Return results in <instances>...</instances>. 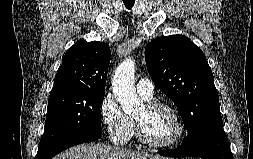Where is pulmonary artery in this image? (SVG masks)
Masks as SVG:
<instances>
[{"label":"pulmonary artery","mask_w":253,"mask_h":159,"mask_svg":"<svg viewBox=\"0 0 253 159\" xmlns=\"http://www.w3.org/2000/svg\"><path fill=\"white\" fill-rule=\"evenodd\" d=\"M136 88L138 93L146 100H150L154 95V86L148 79L138 80Z\"/></svg>","instance_id":"obj_1"}]
</instances>
